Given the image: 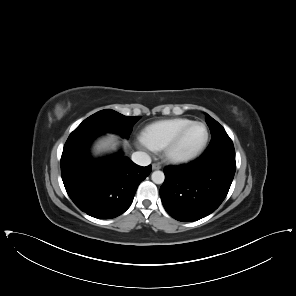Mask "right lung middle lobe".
Listing matches in <instances>:
<instances>
[{"label":"right lung middle lobe","mask_w":296,"mask_h":296,"mask_svg":"<svg viewBox=\"0 0 296 296\" xmlns=\"http://www.w3.org/2000/svg\"><path fill=\"white\" fill-rule=\"evenodd\" d=\"M140 116H124L114 110H101L85 119L72 133L115 132L128 137Z\"/></svg>","instance_id":"dd1d6c3e"}]
</instances>
